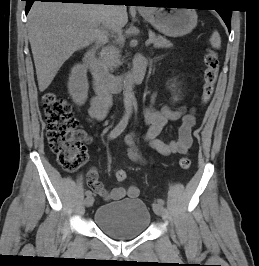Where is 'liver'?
<instances>
[{
    "label": "liver",
    "mask_w": 259,
    "mask_h": 266,
    "mask_svg": "<svg viewBox=\"0 0 259 266\" xmlns=\"http://www.w3.org/2000/svg\"><path fill=\"white\" fill-rule=\"evenodd\" d=\"M127 21L124 5L35 2L28 14V37L40 92L74 52L106 41L108 30L119 31Z\"/></svg>",
    "instance_id": "1"
}]
</instances>
